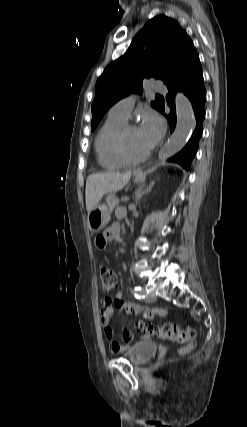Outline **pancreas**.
Instances as JSON below:
<instances>
[{
  "mask_svg": "<svg viewBox=\"0 0 247 427\" xmlns=\"http://www.w3.org/2000/svg\"><path fill=\"white\" fill-rule=\"evenodd\" d=\"M119 204V200L115 195H108L107 196V205L110 211H112L115 207H117Z\"/></svg>",
  "mask_w": 247,
  "mask_h": 427,
  "instance_id": "obj_1",
  "label": "pancreas"
}]
</instances>
